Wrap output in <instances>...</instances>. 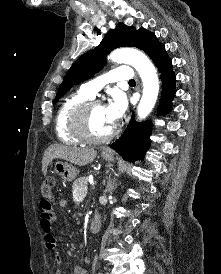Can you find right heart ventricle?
<instances>
[{"label":"right heart ventricle","instance_id":"1","mask_svg":"<svg viewBox=\"0 0 221 274\" xmlns=\"http://www.w3.org/2000/svg\"><path fill=\"white\" fill-rule=\"evenodd\" d=\"M90 99L92 97L80 89L63 100L57 110L54 123L55 134L59 141L69 145H76L82 142L72 130L71 118L76 107Z\"/></svg>","mask_w":221,"mask_h":274}]
</instances>
